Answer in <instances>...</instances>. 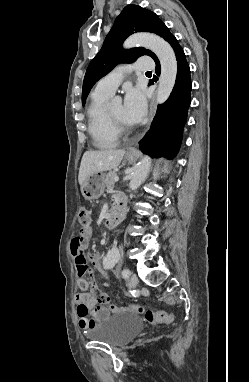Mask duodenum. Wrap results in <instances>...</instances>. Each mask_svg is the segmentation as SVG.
<instances>
[{
	"mask_svg": "<svg viewBox=\"0 0 249 382\" xmlns=\"http://www.w3.org/2000/svg\"><path fill=\"white\" fill-rule=\"evenodd\" d=\"M126 216V205L125 201L123 200H118L116 201L113 206L111 213L109 216L106 218L105 221V227L109 228L111 227L114 223L121 222Z\"/></svg>",
	"mask_w": 249,
	"mask_h": 382,
	"instance_id": "duodenum-1",
	"label": "duodenum"
}]
</instances>
